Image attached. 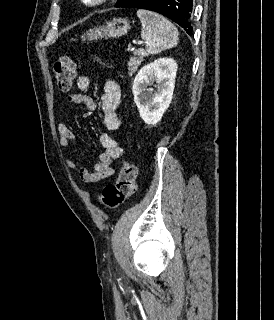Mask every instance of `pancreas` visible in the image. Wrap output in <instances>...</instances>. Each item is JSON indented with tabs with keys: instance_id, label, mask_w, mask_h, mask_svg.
<instances>
[{
	"instance_id": "obj_1",
	"label": "pancreas",
	"mask_w": 274,
	"mask_h": 320,
	"mask_svg": "<svg viewBox=\"0 0 274 320\" xmlns=\"http://www.w3.org/2000/svg\"><path fill=\"white\" fill-rule=\"evenodd\" d=\"M144 56H147L145 50H135V52H133V56L129 58L128 62L129 76H133V74H135L138 66H140L141 62H143Z\"/></svg>"
}]
</instances>
